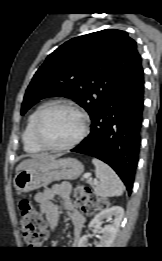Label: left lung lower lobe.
<instances>
[{
    "label": "left lung lower lobe",
    "instance_id": "1",
    "mask_svg": "<svg viewBox=\"0 0 162 261\" xmlns=\"http://www.w3.org/2000/svg\"><path fill=\"white\" fill-rule=\"evenodd\" d=\"M144 97L143 68L117 84L91 116V132L72 152L110 165L131 194L140 147Z\"/></svg>",
    "mask_w": 162,
    "mask_h": 261
}]
</instances>
